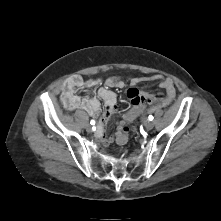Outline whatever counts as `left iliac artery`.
Wrapping results in <instances>:
<instances>
[{
  "label": "left iliac artery",
  "mask_w": 221,
  "mask_h": 221,
  "mask_svg": "<svg viewBox=\"0 0 221 221\" xmlns=\"http://www.w3.org/2000/svg\"><path fill=\"white\" fill-rule=\"evenodd\" d=\"M153 116L152 115H149V117H148V119L150 120V121H152L153 120Z\"/></svg>",
  "instance_id": "44dca946"
}]
</instances>
